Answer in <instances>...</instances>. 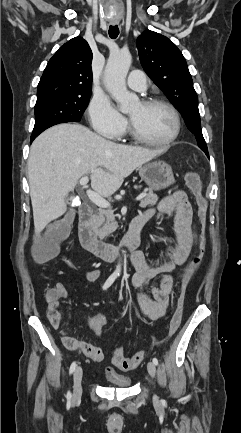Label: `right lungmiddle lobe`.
<instances>
[{
    "instance_id": "dd1d6c3e",
    "label": "right lung middle lobe",
    "mask_w": 241,
    "mask_h": 433,
    "mask_svg": "<svg viewBox=\"0 0 241 433\" xmlns=\"http://www.w3.org/2000/svg\"><path fill=\"white\" fill-rule=\"evenodd\" d=\"M90 96H48L37 99L32 136L37 137L59 123L79 122Z\"/></svg>"
}]
</instances>
